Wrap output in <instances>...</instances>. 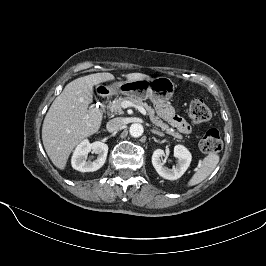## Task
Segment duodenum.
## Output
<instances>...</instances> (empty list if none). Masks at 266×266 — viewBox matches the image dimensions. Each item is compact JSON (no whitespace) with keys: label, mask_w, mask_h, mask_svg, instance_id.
<instances>
[{"label":"duodenum","mask_w":266,"mask_h":266,"mask_svg":"<svg viewBox=\"0 0 266 266\" xmlns=\"http://www.w3.org/2000/svg\"><path fill=\"white\" fill-rule=\"evenodd\" d=\"M108 92L103 90V91H100V99L103 100L106 96H107Z\"/></svg>","instance_id":"obj_1"}]
</instances>
